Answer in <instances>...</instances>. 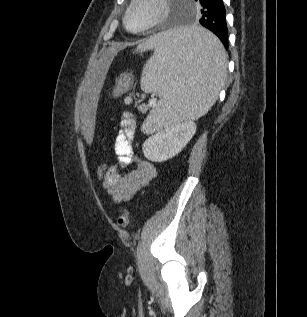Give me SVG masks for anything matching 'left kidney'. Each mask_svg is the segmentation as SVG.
<instances>
[{
    "label": "left kidney",
    "instance_id": "obj_1",
    "mask_svg": "<svg viewBox=\"0 0 307 317\" xmlns=\"http://www.w3.org/2000/svg\"><path fill=\"white\" fill-rule=\"evenodd\" d=\"M196 132V123L184 121L170 124L143 143L144 156L153 162H163L176 156Z\"/></svg>",
    "mask_w": 307,
    "mask_h": 317
}]
</instances>
